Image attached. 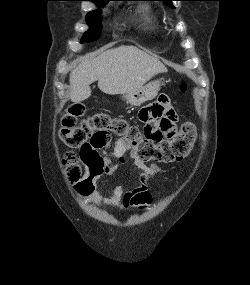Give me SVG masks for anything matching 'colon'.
Wrapping results in <instances>:
<instances>
[{
  "label": "colon",
  "instance_id": "1",
  "mask_svg": "<svg viewBox=\"0 0 250 285\" xmlns=\"http://www.w3.org/2000/svg\"><path fill=\"white\" fill-rule=\"evenodd\" d=\"M84 112L85 107L82 104H75L62 119L60 137L70 147L104 148L111 143L114 134L125 139L132 153L141 161L167 163L187 156L196 139V127L191 122L183 123L176 136H169V141L154 144V141H143V131L124 118L99 112L78 121ZM71 174L73 178L78 177L77 167L73 168Z\"/></svg>",
  "mask_w": 250,
  "mask_h": 285
}]
</instances>
